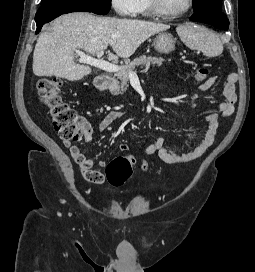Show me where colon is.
<instances>
[{
	"label": "colon",
	"instance_id": "colon-1",
	"mask_svg": "<svg viewBox=\"0 0 255 272\" xmlns=\"http://www.w3.org/2000/svg\"><path fill=\"white\" fill-rule=\"evenodd\" d=\"M208 69L201 67L195 72V79L199 82L206 80ZM63 81L58 77L42 78L37 85L40 102L48 110L54 130L65 142L78 139L82 133V127L77 113L62 100L61 91ZM137 160L131 156H118L114 158L106 168V177L114 186L123 185L131 176L133 166ZM141 168L148 170V164L141 162Z\"/></svg>",
	"mask_w": 255,
	"mask_h": 272
}]
</instances>
